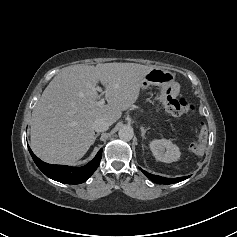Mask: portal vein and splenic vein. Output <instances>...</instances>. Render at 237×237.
<instances>
[{
  "label": "portal vein and splenic vein",
  "instance_id": "1",
  "mask_svg": "<svg viewBox=\"0 0 237 237\" xmlns=\"http://www.w3.org/2000/svg\"><path fill=\"white\" fill-rule=\"evenodd\" d=\"M96 89L98 91H102V89L100 87H97ZM104 103H105V100L102 98L97 102V105L101 106V105H104Z\"/></svg>",
  "mask_w": 237,
  "mask_h": 237
}]
</instances>
